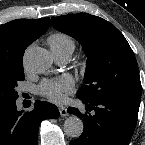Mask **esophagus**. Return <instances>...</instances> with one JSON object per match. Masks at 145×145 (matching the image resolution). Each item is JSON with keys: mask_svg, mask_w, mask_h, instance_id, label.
Returning a JSON list of instances; mask_svg holds the SVG:
<instances>
[{"mask_svg": "<svg viewBox=\"0 0 145 145\" xmlns=\"http://www.w3.org/2000/svg\"><path fill=\"white\" fill-rule=\"evenodd\" d=\"M59 112L62 117L67 115V109L64 106H59Z\"/></svg>", "mask_w": 145, "mask_h": 145, "instance_id": "34e87169", "label": "esophagus"}]
</instances>
